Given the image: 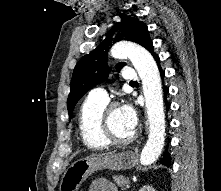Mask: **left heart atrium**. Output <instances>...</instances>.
Listing matches in <instances>:
<instances>
[{
    "label": "left heart atrium",
    "instance_id": "obj_1",
    "mask_svg": "<svg viewBox=\"0 0 221 191\" xmlns=\"http://www.w3.org/2000/svg\"><path fill=\"white\" fill-rule=\"evenodd\" d=\"M120 113L125 126L133 132L138 125V116L134 107L131 104H124L120 108Z\"/></svg>",
    "mask_w": 221,
    "mask_h": 191
}]
</instances>
